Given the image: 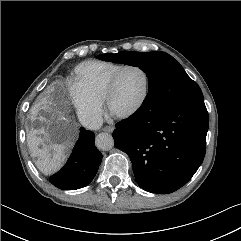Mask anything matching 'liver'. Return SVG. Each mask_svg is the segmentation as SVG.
<instances>
[{
    "label": "liver",
    "mask_w": 241,
    "mask_h": 241,
    "mask_svg": "<svg viewBox=\"0 0 241 241\" xmlns=\"http://www.w3.org/2000/svg\"><path fill=\"white\" fill-rule=\"evenodd\" d=\"M43 114H40V112ZM48 115V118H46ZM31 119L43 123L39 130L28 131V146L33 158H36L37 168L49 175L61 167L64 151L72 144L77 136V127L66 112L46 98L41 99L31 108ZM50 129V130H49ZM54 133L59 143L48 146L46 141ZM42 145L40 148L39 146Z\"/></svg>",
    "instance_id": "1"
}]
</instances>
